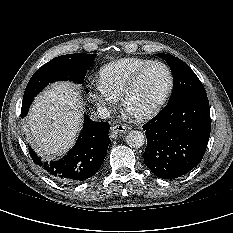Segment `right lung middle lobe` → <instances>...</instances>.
Instances as JSON below:
<instances>
[{"mask_svg": "<svg viewBox=\"0 0 233 233\" xmlns=\"http://www.w3.org/2000/svg\"><path fill=\"white\" fill-rule=\"evenodd\" d=\"M95 57L96 54H67L55 57L44 64L34 73L26 87L22 109H28L34 97L48 83L69 80L82 84ZM26 114L27 112H24L23 116Z\"/></svg>", "mask_w": 233, "mask_h": 233, "instance_id": "1", "label": "right lung middle lobe"}]
</instances>
